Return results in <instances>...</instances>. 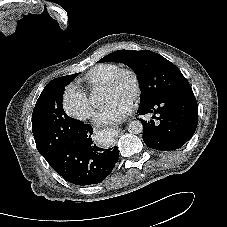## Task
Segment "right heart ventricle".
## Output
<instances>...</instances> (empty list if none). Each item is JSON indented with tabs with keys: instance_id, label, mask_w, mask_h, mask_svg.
I'll use <instances>...</instances> for the list:
<instances>
[{
	"instance_id": "right-heart-ventricle-1",
	"label": "right heart ventricle",
	"mask_w": 227,
	"mask_h": 227,
	"mask_svg": "<svg viewBox=\"0 0 227 227\" xmlns=\"http://www.w3.org/2000/svg\"><path fill=\"white\" fill-rule=\"evenodd\" d=\"M120 68L121 66L114 62L95 64L81 77L79 82L91 90L101 87Z\"/></svg>"
}]
</instances>
